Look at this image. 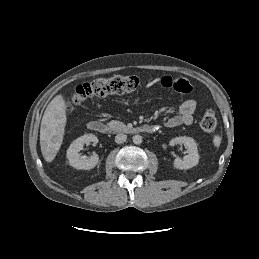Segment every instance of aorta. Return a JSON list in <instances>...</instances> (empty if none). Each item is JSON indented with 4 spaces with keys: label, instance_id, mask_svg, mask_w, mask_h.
<instances>
[{
    "label": "aorta",
    "instance_id": "obj_1",
    "mask_svg": "<svg viewBox=\"0 0 259 259\" xmlns=\"http://www.w3.org/2000/svg\"><path fill=\"white\" fill-rule=\"evenodd\" d=\"M132 139H133V143L136 145H139L142 143V137L140 135H134Z\"/></svg>",
    "mask_w": 259,
    "mask_h": 259
}]
</instances>
